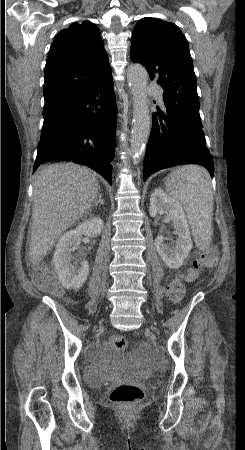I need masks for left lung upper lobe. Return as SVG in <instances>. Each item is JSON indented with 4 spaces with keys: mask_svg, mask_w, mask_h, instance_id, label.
<instances>
[{
    "mask_svg": "<svg viewBox=\"0 0 245 450\" xmlns=\"http://www.w3.org/2000/svg\"><path fill=\"white\" fill-rule=\"evenodd\" d=\"M131 60L146 67L164 89L163 99L188 110L201 123L196 76L188 42L173 23L143 18L131 39Z\"/></svg>",
    "mask_w": 245,
    "mask_h": 450,
    "instance_id": "5c2ea615",
    "label": "left lung upper lobe"
}]
</instances>
